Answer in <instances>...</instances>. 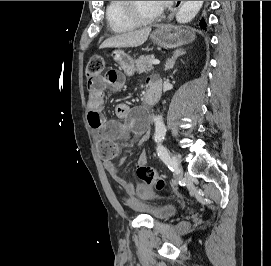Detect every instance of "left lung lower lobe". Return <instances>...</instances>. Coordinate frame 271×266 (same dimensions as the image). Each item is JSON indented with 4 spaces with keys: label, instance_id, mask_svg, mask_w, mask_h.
Listing matches in <instances>:
<instances>
[{
    "label": "left lung lower lobe",
    "instance_id": "obj_1",
    "mask_svg": "<svg viewBox=\"0 0 271 266\" xmlns=\"http://www.w3.org/2000/svg\"><path fill=\"white\" fill-rule=\"evenodd\" d=\"M200 24H201V26L203 27V29H205V28H206V24H205V22H204V21H201V22H200Z\"/></svg>",
    "mask_w": 271,
    "mask_h": 266
}]
</instances>
